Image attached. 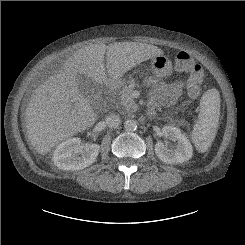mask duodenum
<instances>
[{
    "label": "duodenum",
    "instance_id": "410a0bca",
    "mask_svg": "<svg viewBox=\"0 0 245 245\" xmlns=\"http://www.w3.org/2000/svg\"><path fill=\"white\" fill-rule=\"evenodd\" d=\"M120 84H121V81H120L119 79H110V80H108V81L106 82V85H107L108 89H109L111 92H113V91H114ZM114 110H115L114 106L111 105V106L109 107L108 112H109V113H113Z\"/></svg>",
    "mask_w": 245,
    "mask_h": 245
}]
</instances>
